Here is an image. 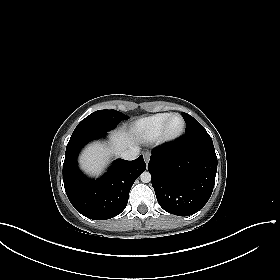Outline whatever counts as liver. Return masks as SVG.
<instances>
[{
	"label": "liver",
	"instance_id": "liver-1",
	"mask_svg": "<svg viewBox=\"0 0 280 280\" xmlns=\"http://www.w3.org/2000/svg\"><path fill=\"white\" fill-rule=\"evenodd\" d=\"M111 147L95 143L88 146L80 156L82 169L91 174H99L109 158L110 154H121L126 149L135 146L137 137L132 131L118 130L111 135Z\"/></svg>",
	"mask_w": 280,
	"mask_h": 280
}]
</instances>
